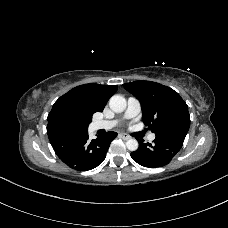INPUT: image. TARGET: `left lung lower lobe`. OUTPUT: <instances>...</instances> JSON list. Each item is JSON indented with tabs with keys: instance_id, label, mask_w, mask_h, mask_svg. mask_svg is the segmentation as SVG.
<instances>
[{
	"instance_id": "0a47b994",
	"label": "left lung lower lobe",
	"mask_w": 228,
	"mask_h": 228,
	"mask_svg": "<svg viewBox=\"0 0 228 228\" xmlns=\"http://www.w3.org/2000/svg\"><path fill=\"white\" fill-rule=\"evenodd\" d=\"M185 136L178 133L156 135L153 144L143 143L140 139L139 148L131 153V157L144 167H163L179 152Z\"/></svg>"
}]
</instances>
